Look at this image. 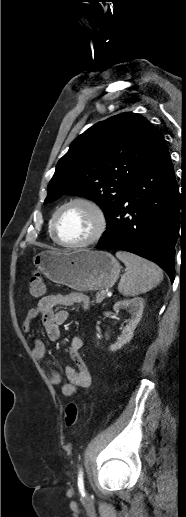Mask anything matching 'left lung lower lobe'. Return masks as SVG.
<instances>
[{"mask_svg": "<svg viewBox=\"0 0 186 517\" xmlns=\"http://www.w3.org/2000/svg\"><path fill=\"white\" fill-rule=\"evenodd\" d=\"M179 188L163 142L130 182L123 202L107 222L96 248H117L158 264L175 278V244L179 233Z\"/></svg>", "mask_w": 186, "mask_h": 517, "instance_id": "left-lung-lower-lobe-1", "label": "left lung lower lobe"}]
</instances>
